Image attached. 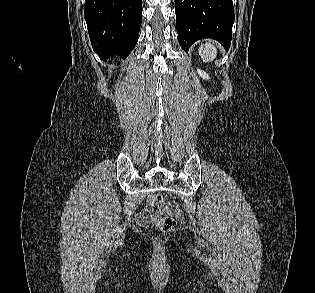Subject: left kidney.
Returning <instances> with one entry per match:
<instances>
[{"label": "left kidney", "mask_w": 315, "mask_h": 293, "mask_svg": "<svg viewBox=\"0 0 315 293\" xmlns=\"http://www.w3.org/2000/svg\"><path fill=\"white\" fill-rule=\"evenodd\" d=\"M197 72H198V74H199L203 79H205V80H206V79H207V80L210 79L209 75H208L206 72H204V71H202V70H200V69H198Z\"/></svg>", "instance_id": "5707ae66"}]
</instances>
